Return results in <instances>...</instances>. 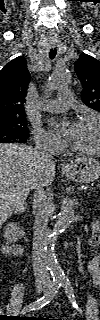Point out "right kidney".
Masks as SVG:
<instances>
[{
    "label": "right kidney",
    "instance_id": "ca27d5eb",
    "mask_svg": "<svg viewBox=\"0 0 100 320\" xmlns=\"http://www.w3.org/2000/svg\"><path fill=\"white\" fill-rule=\"evenodd\" d=\"M23 230L17 225V223L11 222L6 225L4 228L3 236L7 240L8 243H14L18 241L22 236H24ZM7 252H13L14 249L12 247H6Z\"/></svg>",
    "mask_w": 100,
    "mask_h": 320
}]
</instances>
